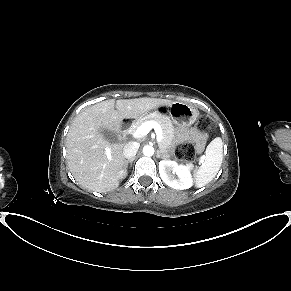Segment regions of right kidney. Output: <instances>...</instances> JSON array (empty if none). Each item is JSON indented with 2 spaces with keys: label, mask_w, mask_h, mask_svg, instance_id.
<instances>
[{
  "label": "right kidney",
  "mask_w": 291,
  "mask_h": 291,
  "mask_svg": "<svg viewBox=\"0 0 291 291\" xmlns=\"http://www.w3.org/2000/svg\"><path fill=\"white\" fill-rule=\"evenodd\" d=\"M126 176V172L124 170H121L119 173L120 178H124Z\"/></svg>",
  "instance_id": "right-kidney-1"
}]
</instances>
